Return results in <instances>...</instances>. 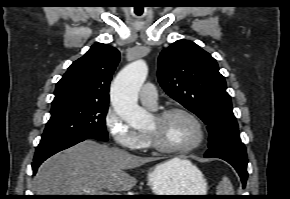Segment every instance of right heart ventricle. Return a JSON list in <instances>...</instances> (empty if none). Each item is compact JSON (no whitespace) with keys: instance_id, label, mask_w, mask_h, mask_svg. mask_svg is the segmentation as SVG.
I'll return each mask as SVG.
<instances>
[{"instance_id":"1","label":"right heart ventricle","mask_w":290,"mask_h":199,"mask_svg":"<svg viewBox=\"0 0 290 199\" xmlns=\"http://www.w3.org/2000/svg\"><path fill=\"white\" fill-rule=\"evenodd\" d=\"M150 148L148 140L145 135H143L142 145L140 147L141 150H148Z\"/></svg>"}]
</instances>
